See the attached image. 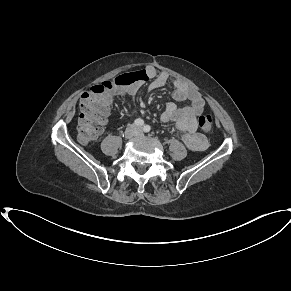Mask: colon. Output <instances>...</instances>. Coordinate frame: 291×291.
<instances>
[{
    "instance_id": "colon-1",
    "label": "colon",
    "mask_w": 291,
    "mask_h": 291,
    "mask_svg": "<svg viewBox=\"0 0 291 291\" xmlns=\"http://www.w3.org/2000/svg\"><path fill=\"white\" fill-rule=\"evenodd\" d=\"M138 79V72L120 75L112 81L93 85L90 91L82 95L77 125V136L81 143H91L102 133L109 113V101L105 95L113 87L128 86ZM198 125L203 132L209 133L213 128V119L209 114H203L198 118Z\"/></svg>"
}]
</instances>
